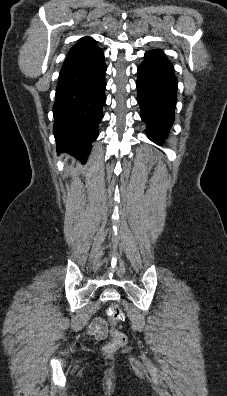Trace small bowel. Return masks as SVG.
<instances>
[{"instance_id": "c3829d8e", "label": "small bowel", "mask_w": 227, "mask_h": 396, "mask_svg": "<svg viewBox=\"0 0 227 396\" xmlns=\"http://www.w3.org/2000/svg\"><path fill=\"white\" fill-rule=\"evenodd\" d=\"M87 332L96 340H103L108 333L107 322L103 318L97 317L91 322Z\"/></svg>"}]
</instances>
